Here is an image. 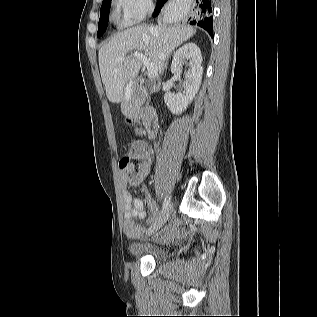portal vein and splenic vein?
<instances>
[{"mask_svg":"<svg viewBox=\"0 0 317 317\" xmlns=\"http://www.w3.org/2000/svg\"><path fill=\"white\" fill-rule=\"evenodd\" d=\"M133 56L140 60L144 67L147 68V75L149 79H152L157 74V66L154 63H151L149 59L143 54L139 52H134ZM125 58H119L120 61H123Z\"/></svg>","mask_w":317,"mask_h":317,"instance_id":"portal-vein-and-splenic-vein-1","label":"portal vein and splenic vein"}]
</instances>
